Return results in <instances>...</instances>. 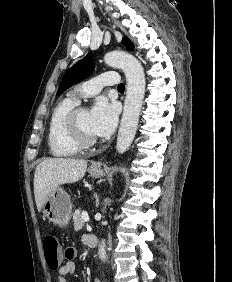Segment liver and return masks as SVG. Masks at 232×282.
<instances>
[{"instance_id": "1", "label": "liver", "mask_w": 232, "mask_h": 282, "mask_svg": "<svg viewBox=\"0 0 232 282\" xmlns=\"http://www.w3.org/2000/svg\"><path fill=\"white\" fill-rule=\"evenodd\" d=\"M85 160L49 158L42 161L34 173V195L38 211H41L48 195L59 185L81 180L86 172Z\"/></svg>"}]
</instances>
